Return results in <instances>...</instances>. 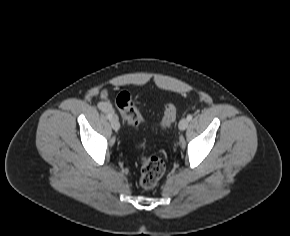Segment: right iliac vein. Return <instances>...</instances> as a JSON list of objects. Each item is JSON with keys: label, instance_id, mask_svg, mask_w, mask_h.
I'll use <instances>...</instances> for the list:
<instances>
[{"label": "right iliac vein", "instance_id": "63e3f726", "mask_svg": "<svg viewBox=\"0 0 290 236\" xmlns=\"http://www.w3.org/2000/svg\"><path fill=\"white\" fill-rule=\"evenodd\" d=\"M111 126L115 131L120 129V123L117 117L111 119Z\"/></svg>", "mask_w": 290, "mask_h": 236}]
</instances>
